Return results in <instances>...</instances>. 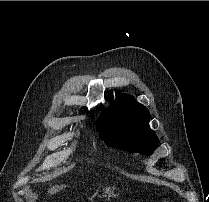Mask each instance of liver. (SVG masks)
Returning a JSON list of instances; mask_svg holds the SVG:
<instances>
[{"label":"liver","mask_w":209,"mask_h":202,"mask_svg":"<svg viewBox=\"0 0 209 202\" xmlns=\"http://www.w3.org/2000/svg\"><path fill=\"white\" fill-rule=\"evenodd\" d=\"M65 187H66L65 185H60V186L55 185L48 190V193L51 194V195L55 194V193H57L58 191L62 190Z\"/></svg>","instance_id":"liver-1"}]
</instances>
